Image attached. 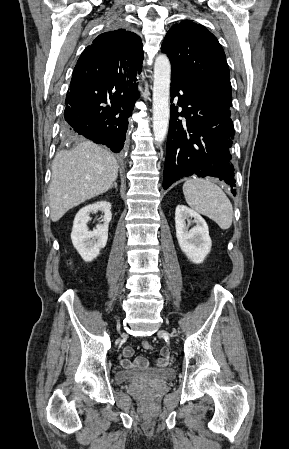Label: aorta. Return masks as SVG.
Instances as JSON below:
<instances>
[{
	"label": "aorta",
	"instance_id": "obj_1",
	"mask_svg": "<svg viewBox=\"0 0 289 449\" xmlns=\"http://www.w3.org/2000/svg\"><path fill=\"white\" fill-rule=\"evenodd\" d=\"M171 65L166 55H159L154 64L153 83V133L155 141L162 143L166 137L170 108Z\"/></svg>",
	"mask_w": 289,
	"mask_h": 449
}]
</instances>
